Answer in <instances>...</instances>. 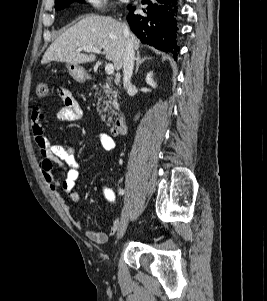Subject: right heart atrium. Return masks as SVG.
I'll return each mask as SVG.
<instances>
[{
  "label": "right heart atrium",
  "instance_id": "right-heart-atrium-1",
  "mask_svg": "<svg viewBox=\"0 0 267 301\" xmlns=\"http://www.w3.org/2000/svg\"><path fill=\"white\" fill-rule=\"evenodd\" d=\"M108 0H86L87 4L94 9H102Z\"/></svg>",
  "mask_w": 267,
  "mask_h": 301
}]
</instances>
